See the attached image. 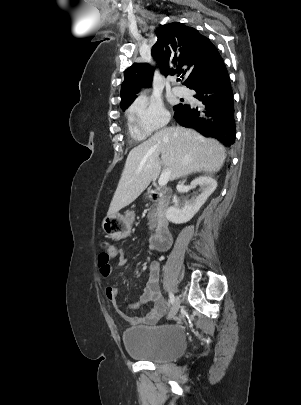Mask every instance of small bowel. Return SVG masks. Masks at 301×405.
I'll return each mask as SVG.
<instances>
[{"label": "small bowel", "instance_id": "c3829d8e", "mask_svg": "<svg viewBox=\"0 0 301 405\" xmlns=\"http://www.w3.org/2000/svg\"><path fill=\"white\" fill-rule=\"evenodd\" d=\"M114 258H117L120 266H124L127 262L123 251L115 247H110L107 256H99V270L102 278H107L111 274L112 267L110 261ZM105 296L115 306L118 313L129 323L133 325L155 324L162 318L167 308L166 299L159 290L158 261H152L148 265V277L140 300L127 306L129 310H138L144 306H148L146 313L142 315H133L119 307L116 301V291L112 287H107L105 289Z\"/></svg>", "mask_w": 301, "mask_h": 405}]
</instances>
